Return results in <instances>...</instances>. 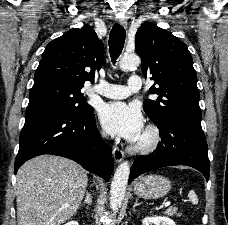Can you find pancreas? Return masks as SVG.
I'll use <instances>...</instances> for the list:
<instances>
[{
	"label": "pancreas",
	"instance_id": "1",
	"mask_svg": "<svg viewBox=\"0 0 228 225\" xmlns=\"http://www.w3.org/2000/svg\"><path fill=\"white\" fill-rule=\"evenodd\" d=\"M178 209L177 207H169V209H166L165 215H169V217H173V215H177V217H180L181 213H177Z\"/></svg>",
	"mask_w": 228,
	"mask_h": 225
}]
</instances>
